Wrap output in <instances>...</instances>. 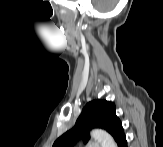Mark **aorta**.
Wrapping results in <instances>:
<instances>
[{"mask_svg":"<svg viewBox=\"0 0 163 147\" xmlns=\"http://www.w3.org/2000/svg\"><path fill=\"white\" fill-rule=\"evenodd\" d=\"M91 137L101 144V147H116L113 137L104 130L94 129Z\"/></svg>","mask_w":163,"mask_h":147,"instance_id":"1","label":"aorta"}]
</instances>
